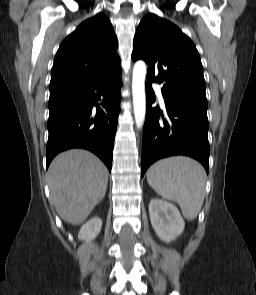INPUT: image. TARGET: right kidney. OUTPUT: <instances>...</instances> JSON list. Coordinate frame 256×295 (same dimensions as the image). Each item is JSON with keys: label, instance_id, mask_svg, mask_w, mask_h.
Here are the masks:
<instances>
[{"label": "right kidney", "instance_id": "1", "mask_svg": "<svg viewBox=\"0 0 256 295\" xmlns=\"http://www.w3.org/2000/svg\"><path fill=\"white\" fill-rule=\"evenodd\" d=\"M102 220L98 217H93L87 221L80 229L78 238L89 242L93 240L100 232Z\"/></svg>", "mask_w": 256, "mask_h": 295}]
</instances>
